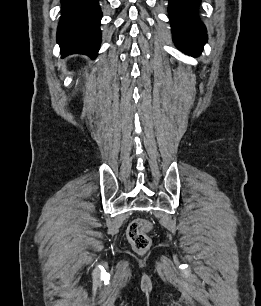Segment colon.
<instances>
[{
    "label": "colon",
    "instance_id": "1",
    "mask_svg": "<svg viewBox=\"0 0 261 306\" xmlns=\"http://www.w3.org/2000/svg\"><path fill=\"white\" fill-rule=\"evenodd\" d=\"M149 230L150 223L145 219L138 218L129 224L127 229V238L136 252L143 253L149 249L151 244L148 236Z\"/></svg>",
    "mask_w": 261,
    "mask_h": 306
}]
</instances>
